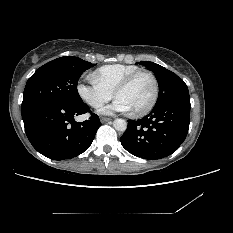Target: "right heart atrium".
I'll list each match as a JSON object with an SVG mask.
<instances>
[{
  "label": "right heart atrium",
  "mask_w": 233,
  "mask_h": 233,
  "mask_svg": "<svg viewBox=\"0 0 233 233\" xmlns=\"http://www.w3.org/2000/svg\"><path fill=\"white\" fill-rule=\"evenodd\" d=\"M79 97L94 109H99L111 100L113 93L97 82L90 80L89 83H79L77 85Z\"/></svg>",
  "instance_id": "right-heart-atrium-1"
}]
</instances>
